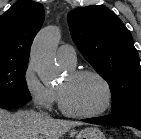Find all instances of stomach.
I'll return each mask as SVG.
<instances>
[{
  "label": "stomach",
  "mask_w": 141,
  "mask_h": 139,
  "mask_svg": "<svg viewBox=\"0 0 141 139\" xmlns=\"http://www.w3.org/2000/svg\"><path fill=\"white\" fill-rule=\"evenodd\" d=\"M75 139H106L103 132L97 127H87L77 133Z\"/></svg>",
  "instance_id": "obj_1"
}]
</instances>
